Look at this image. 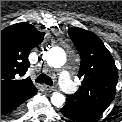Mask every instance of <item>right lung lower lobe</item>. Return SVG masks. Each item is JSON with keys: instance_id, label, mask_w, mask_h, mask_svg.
<instances>
[{"instance_id": "98d812e1", "label": "right lung lower lobe", "mask_w": 122, "mask_h": 122, "mask_svg": "<svg viewBox=\"0 0 122 122\" xmlns=\"http://www.w3.org/2000/svg\"><path fill=\"white\" fill-rule=\"evenodd\" d=\"M36 93L37 90L27 96H17L10 93L1 95V118H10L19 115L23 103Z\"/></svg>"}]
</instances>
